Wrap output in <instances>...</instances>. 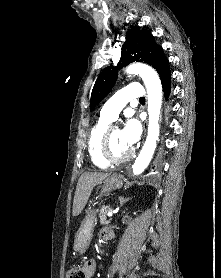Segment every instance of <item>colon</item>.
Returning a JSON list of instances; mask_svg holds the SVG:
<instances>
[{
	"instance_id": "5ec220e1",
	"label": "colon",
	"mask_w": 221,
	"mask_h": 278,
	"mask_svg": "<svg viewBox=\"0 0 221 278\" xmlns=\"http://www.w3.org/2000/svg\"><path fill=\"white\" fill-rule=\"evenodd\" d=\"M65 278H85V274L82 268L72 266L66 270Z\"/></svg>"
}]
</instances>
